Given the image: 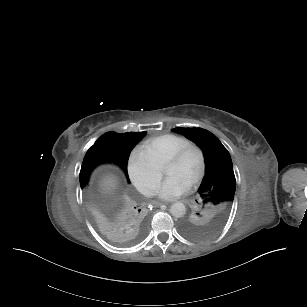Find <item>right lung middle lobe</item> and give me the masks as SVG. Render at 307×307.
<instances>
[{
	"label": "right lung middle lobe",
	"mask_w": 307,
	"mask_h": 307,
	"mask_svg": "<svg viewBox=\"0 0 307 307\" xmlns=\"http://www.w3.org/2000/svg\"><path fill=\"white\" fill-rule=\"evenodd\" d=\"M111 155L108 153V151L101 145L94 144L86 153L81 171H80V185L81 187L85 186L89 175L93 168H95L97 165L109 162L111 159Z\"/></svg>",
	"instance_id": "1"
}]
</instances>
